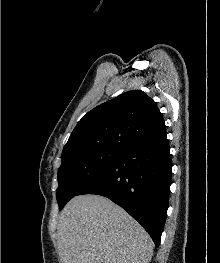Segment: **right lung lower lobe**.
Returning <instances> with one entry per match:
<instances>
[{"instance_id": "right-lung-lower-lobe-1", "label": "right lung lower lobe", "mask_w": 220, "mask_h": 263, "mask_svg": "<svg viewBox=\"0 0 220 263\" xmlns=\"http://www.w3.org/2000/svg\"><path fill=\"white\" fill-rule=\"evenodd\" d=\"M171 176L170 146L164 133L129 145L76 196L97 194L109 198L137 220L158 247L169 206Z\"/></svg>"}]
</instances>
